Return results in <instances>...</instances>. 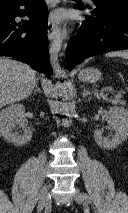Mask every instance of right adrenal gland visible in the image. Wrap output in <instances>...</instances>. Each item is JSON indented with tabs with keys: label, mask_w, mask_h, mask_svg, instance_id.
Returning <instances> with one entry per match:
<instances>
[{
	"label": "right adrenal gland",
	"mask_w": 128,
	"mask_h": 213,
	"mask_svg": "<svg viewBox=\"0 0 128 213\" xmlns=\"http://www.w3.org/2000/svg\"><path fill=\"white\" fill-rule=\"evenodd\" d=\"M37 92L42 93V91L40 90V88L38 86V83H36V85H35V90H34L33 94L35 95Z\"/></svg>",
	"instance_id": "obj_1"
}]
</instances>
